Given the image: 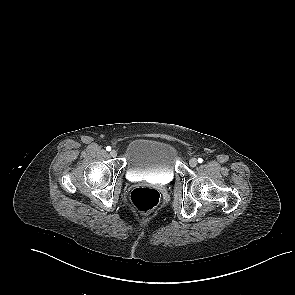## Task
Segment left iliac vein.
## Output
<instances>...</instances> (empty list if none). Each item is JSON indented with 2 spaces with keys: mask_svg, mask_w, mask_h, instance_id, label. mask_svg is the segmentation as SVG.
Wrapping results in <instances>:
<instances>
[{
  "mask_svg": "<svg viewBox=\"0 0 295 295\" xmlns=\"http://www.w3.org/2000/svg\"><path fill=\"white\" fill-rule=\"evenodd\" d=\"M189 165H190L191 167H195V166L197 165V159H196V158H191V159L189 160Z\"/></svg>",
  "mask_w": 295,
  "mask_h": 295,
  "instance_id": "left-iliac-vein-1",
  "label": "left iliac vein"
}]
</instances>
